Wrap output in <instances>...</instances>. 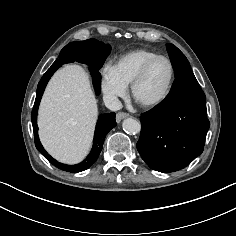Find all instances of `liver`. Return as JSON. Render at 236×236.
Wrapping results in <instances>:
<instances>
[{
	"instance_id": "obj_1",
	"label": "liver",
	"mask_w": 236,
	"mask_h": 236,
	"mask_svg": "<svg viewBox=\"0 0 236 236\" xmlns=\"http://www.w3.org/2000/svg\"><path fill=\"white\" fill-rule=\"evenodd\" d=\"M98 117L89 77L78 65H66L48 83L38 112L39 137L47 152L75 164L88 154Z\"/></svg>"
}]
</instances>
